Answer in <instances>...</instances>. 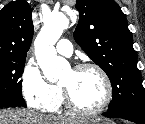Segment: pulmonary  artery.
Wrapping results in <instances>:
<instances>
[{
  "mask_svg": "<svg viewBox=\"0 0 145 124\" xmlns=\"http://www.w3.org/2000/svg\"><path fill=\"white\" fill-rule=\"evenodd\" d=\"M56 50L59 54L69 57L73 53V46L69 40L61 39L56 45Z\"/></svg>",
  "mask_w": 145,
  "mask_h": 124,
  "instance_id": "e3ab8cb5",
  "label": "pulmonary artery"
}]
</instances>
